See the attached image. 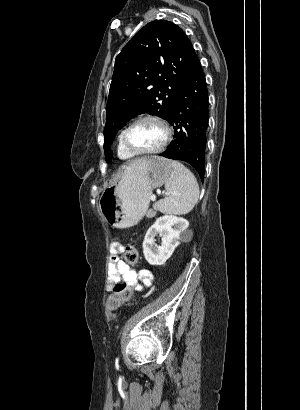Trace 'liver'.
<instances>
[{
	"label": "liver",
	"instance_id": "obj_1",
	"mask_svg": "<svg viewBox=\"0 0 300 410\" xmlns=\"http://www.w3.org/2000/svg\"><path fill=\"white\" fill-rule=\"evenodd\" d=\"M147 162V159H138V160H134L132 161L128 167H135L138 165H144Z\"/></svg>",
	"mask_w": 300,
	"mask_h": 410
}]
</instances>
